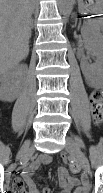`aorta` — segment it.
I'll use <instances>...</instances> for the list:
<instances>
[{
  "instance_id": "1",
  "label": "aorta",
  "mask_w": 103,
  "mask_h": 193,
  "mask_svg": "<svg viewBox=\"0 0 103 193\" xmlns=\"http://www.w3.org/2000/svg\"><path fill=\"white\" fill-rule=\"evenodd\" d=\"M73 2L74 0H58L59 12L64 16L69 15L73 9Z\"/></svg>"
}]
</instances>
